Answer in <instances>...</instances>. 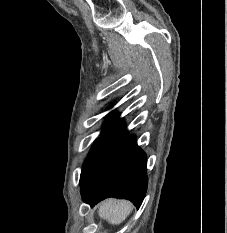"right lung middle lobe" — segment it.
<instances>
[{
	"label": "right lung middle lobe",
	"mask_w": 227,
	"mask_h": 233,
	"mask_svg": "<svg viewBox=\"0 0 227 233\" xmlns=\"http://www.w3.org/2000/svg\"><path fill=\"white\" fill-rule=\"evenodd\" d=\"M119 139L120 137L114 135H102L101 138L96 140L88 158L84 162L80 183L88 175L90 170L94 167L102 155Z\"/></svg>",
	"instance_id": "dd1d6c3e"
}]
</instances>
